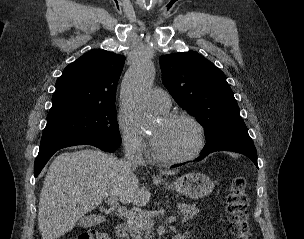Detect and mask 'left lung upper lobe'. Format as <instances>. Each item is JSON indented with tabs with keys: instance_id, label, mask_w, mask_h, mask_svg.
<instances>
[{
	"instance_id": "obj_1",
	"label": "left lung upper lobe",
	"mask_w": 304,
	"mask_h": 239,
	"mask_svg": "<svg viewBox=\"0 0 304 239\" xmlns=\"http://www.w3.org/2000/svg\"><path fill=\"white\" fill-rule=\"evenodd\" d=\"M162 81L176 102L205 128L204 150L253 144L225 74L196 52L160 57Z\"/></svg>"
}]
</instances>
